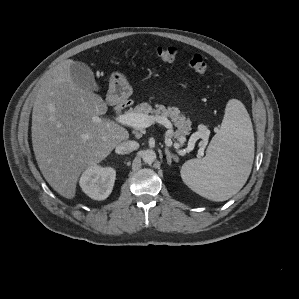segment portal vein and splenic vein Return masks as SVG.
Here are the masks:
<instances>
[{
  "label": "portal vein and splenic vein",
  "mask_w": 299,
  "mask_h": 299,
  "mask_svg": "<svg viewBox=\"0 0 299 299\" xmlns=\"http://www.w3.org/2000/svg\"><path fill=\"white\" fill-rule=\"evenodd\" d=\"M114 119L116 122L122 125L130 126L136 129L147 128L151 126L154 122H157L169 129L166 133L167 136L173 132L171 122L167 118L161 116L154 117L145 114L126 112L124 114L116 116ZM166 144L167 146H171L172 141L170 139H166ZM191 145H193V143H191ZM199 154L200 156H203V151H200Z\"/></svg>",
  "instance_id": "portal-vein-and-splenic-vein-1"
}]
</instances>
